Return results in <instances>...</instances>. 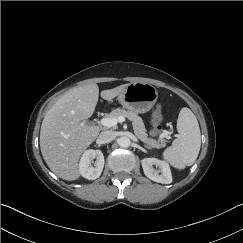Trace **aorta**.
Wrapping results in <instances>:
<instances>
[{
  "label": "aorta",
  "mask_w": 243,
  "mask_h": 243,
  "mask_svg": "<svg viewBox=\"0 0 243 243\" xmlns=\"http://www.w3.org/2000/svg\"><path fill=\"white\" fill-rule=\"evenodd\" d=\"M118 144L122 148H128L131 144V141L128 137H121L118 140Z\"/></svg>",
  "instance_id": "762f6f07"
}]
</instances>
